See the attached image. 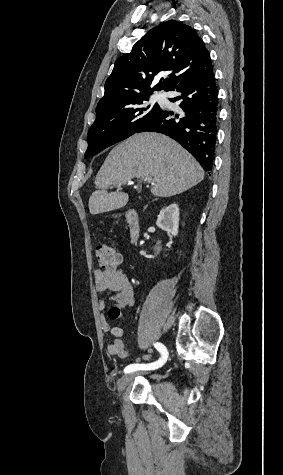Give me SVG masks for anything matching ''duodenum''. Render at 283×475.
Listing matches in <instances>:
<instances>
[{
	"mask_svg": "<svg viewBox=\"0 0 283 475\" xmlns=\"http://www.w3.org/2000/svg\"><path fill=\"white\" fill-rule=\"evenodd\" d=\"M124 218L128 225L130 242L135 244L140 236V222L138 214L135 210L129 209L125 212Z\"/></svg>",
	"mask_w": 283,
	"mask_h": 475,
	"instance_id": "1",
	"label": "duodenum"
}]
</instances>
